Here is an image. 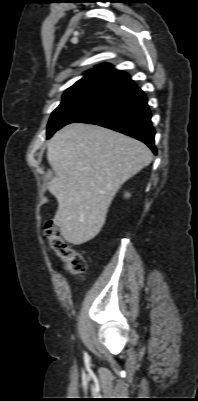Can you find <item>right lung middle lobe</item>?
I'll return each instance as SVG.
<instances>
[{"mask_svg": "<svg viewBox=\"0 0 198 401\" xmlns=\"http://www.w3.org/2000/svg\"><path fill=\"white\" fill-rule=\"evenodd\" d=\"M110 90L85 89L63 95L61 104L53 111L48 126L47 138L66 124L77 122L96 109Z\"/></svg>", "mask_w": 198, "mask_h": 401, "instance_id": "obj_1", "label": "right lung middle lobe"}]
</instances>
